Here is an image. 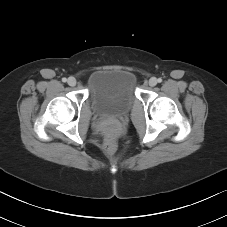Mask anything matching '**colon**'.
<instances>
[{
	"label": "colon",
	"instance_id": "colon-1",
	"mask_svg": "<svg viewBox=\"0 0 227 227\" xmlns=\"http://www.w3.org/2000/svg\"><path fill=\"white\" fill-rule=\"evenodd\" d=\"M103 151L108 157H114L116 152V144L113 140H107L103 145Z\"/></svg>",
	"mask_w": 227,
	"mask_h": 227
}]
</instances>
